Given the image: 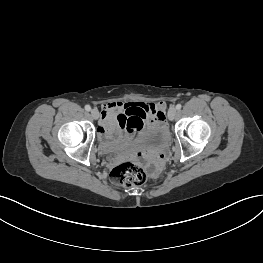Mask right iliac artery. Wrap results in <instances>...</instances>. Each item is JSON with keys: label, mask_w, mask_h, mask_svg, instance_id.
Masks as SVG:
<instances>
[{"label": "right iliac artery", "mask_w": 263, "mask_h": 263, "mask_svg": "<svg viewBox=\"0 0 263 263\" xmlns=\"http://www.w3.org/2000/svg\"><path fill=\"white\" fill-rule=\"evenodd\" d=\"M85 110H86V111H90V110H91L90 105H86V106H85Z\"/></svg>", "instance_id": "obj_1"}]
</instances>
